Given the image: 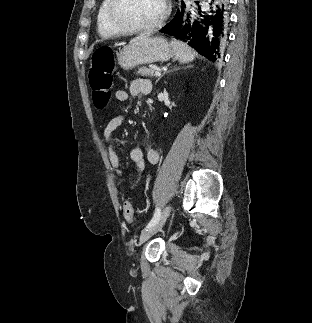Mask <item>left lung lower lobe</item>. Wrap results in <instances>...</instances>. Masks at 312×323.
Masks as SVG:
<instances>
[{
    "instance_id": "0a47b994",
    "label": "left lung lower lobe",
    "mask_w": 312,
    "mask_h": 323,
    "mask_svg": "<svg viewBox=\"0 0 312 323\" xmlns=\"http://www.w3.org/2000/svg\"><path fill=\"white\" fill-rule=\"evenodd\" d=\"M207 6L189 11L184 2L162 33L187 42L202 56L215 61L223 53L228 27V6L225 0H207Z\"/></svg>"
}]
</instances>
